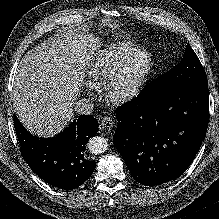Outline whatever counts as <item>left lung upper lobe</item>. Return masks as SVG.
I'll list each match as a JSON object with an SVG mask.
<instances>
[{"label": "left lung upper lobe", "instance_id": "5c2ea615", "mask_svg": "<svg viewBox=\"0 0 219 219\" xmlns=\"http://www.w3.org/2000/svg\"><path fill=\"white\" fill-rule=\"evenodd\" d=\"M199 84L208 85L207 76L196 53L187 44L182 61L148 83L137 97L155 99L175 89Z\"/></svg>", "mask_w": 219, "mask_h": 219}]
</instances>
